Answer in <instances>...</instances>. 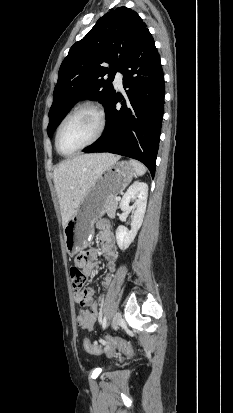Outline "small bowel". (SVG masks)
<instances>
[{
	"label": "small bowel",
	"instance_id": "obj_1",
	"mask_svg": "<svg viewBox=\"0 0 233 413\" xmlns=\"http://www.w3.org/2000/svg\"><path fill=\"white\" fill-rule=\"evenodd\" d=\"M102 243L101 251L107 262V275L103 281V286L107 287L112 280L113 274L116 270L117 249L115 245V238L110 229L103 225V229L98 236ZM97 251L95 249H81L76 256V264L83 269L86 275H90L95 268V259ZM93 288H86L82 291L74 293V300L83 305L89 306L90 309H81L76 317L77 324L86 330H92L97 322L99 316V305L93 301ZM103 299V298H102Z\"/></svg>",
	"mask_w": 233,
	"mask_h": 413
}]
</instances>
